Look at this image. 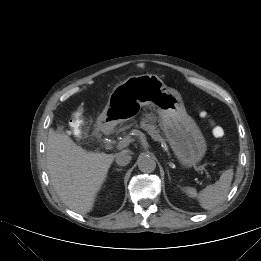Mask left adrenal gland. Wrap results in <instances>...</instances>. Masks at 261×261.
<instances>
[{
	"mask_svg": "<svg viewBox=\"0 0 261 261\" xmlns=\"http://www.w3.org/2000/svg\"><path fill=\"white\" fill-rule=\"evenodd\" d=\"M167 174H168V178H169V179H171V177H170V174H169V171H168V170H167Z\"/></svg>",
	"mask_w": 261,
	"mask_h": 261,
	"instance_id": "left-adrenal-gland-1",
	"label": "left adrenal gland"
}]
</instances>
